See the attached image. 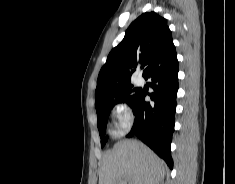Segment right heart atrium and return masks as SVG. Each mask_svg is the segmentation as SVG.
<instances>
[{
	"label": "right heart atrium",
	"mask_w": 235,
	"mask_h": 184,
	"mask_svg": "<svg viewBox=\"0 0 235 184\" xmlns=\"http://www.w3.org/2000/svg\"><path fill=\"white\" fill-rule=\"evenodd\" d=\"M110 113L111 121L107 132L111 137L119 138L130 129L134 118L133 112L125 102L118 101L112 105Z\"/></svg>",
	"instance_id": "d8ad5b80"
}]
</instances>
